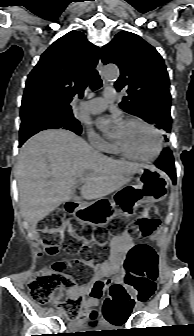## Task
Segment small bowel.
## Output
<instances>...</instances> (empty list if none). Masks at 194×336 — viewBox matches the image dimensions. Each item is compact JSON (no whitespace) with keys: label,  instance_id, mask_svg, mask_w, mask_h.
<instances>
[{"label":"small bowel","instance_id":"obj_1","mask_svg":"<svg viewBox=\"0 0 194 336\" xmlns=\"http://www.w3.org/2000/svg\"><path fill=\"white\" fill-rule=\"evenodd\" d=\"M135 247L136 246L128 233H123L119 236L113 237L110 242L109 257L107 258V260L100 263H92V278L88 282L80 285L74 291L66 293L67 296L77 293L85 297V300L83 302L84 311L78 319V322H88L92 326H97L102 321L100 311L97 308L98 298L91 296L90 293L95 286L102 284L104 280L111 277H117L119 270L121 269L122 265L128 260L130 252ZM154 268L157 274L158 262L155 254ZM144 277L145 274H139L135 284H128L126 286L129 294L138 295L152 289L153 283L149 285L145 281ZM62 296L63 294L59 296L58 303L60 302Z\"/></svg>","mask_w":194,"mask_h":336}]
</instances>
